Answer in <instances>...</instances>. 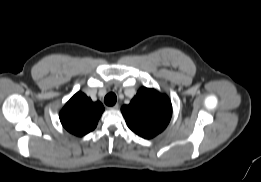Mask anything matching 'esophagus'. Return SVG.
<instances>
[{
  "mask_svg": "<svg viewBox=\"0 0 261 182\" xmlns=\"http://www.w3.org/2000/svg\"><path fill=\"white\" fill-rule=\"evenodd\" d=\"M119 108V105L118 104H115L113 105L112 107H109V109H118Z\"/></svg>",
  "mask_w": 261,
  "mask_h": 182,
  "instance_id": "1",
  "label": "esophagus"
}]
</instances>
